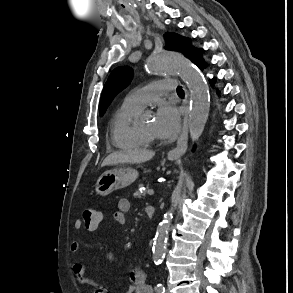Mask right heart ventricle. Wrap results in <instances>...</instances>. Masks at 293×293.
I'll list each match as a JSON object with an SVG mask.
<instances>
[{
  "instance_id": "1",
  "label": "right heart ventricle",
  "mask_w": 293,
  "mask_h": 293,
  "mask_svg": "<svg viewBox=\"0 0 293 293\" xmlns=\"http://www.w3.org/2000/svg\"><path fill=\"white\" fill-rule=\"evenodd\" d=\"M139 111L124 104L117 110L111 121V140L115 147L124 151H136L149 146L140 130L133 125V119Z\"/></svg>"
}]
</instances>
